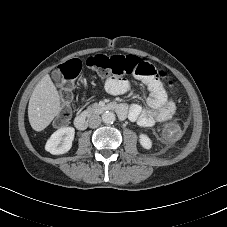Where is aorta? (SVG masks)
Returning a JSON list of instances; mask_svg holds the SVG:
<instances>
[{
    "label": "aorta",
    "instance_id": "obj_1",
    "mask_svg": "<svg viewBox=\"0 0 227 227\" xmlns=\"http://www.w3.org/2000/svg\"><path fill=\"white\" fill-rule=\"evenodd\" d=\"M116 117L115 114L111 111H105L102 114V120L106 124H112L115 121Z\"/></svg>",
    "mask_w": 227,
    "mask_h": 227
}]
</instances>
